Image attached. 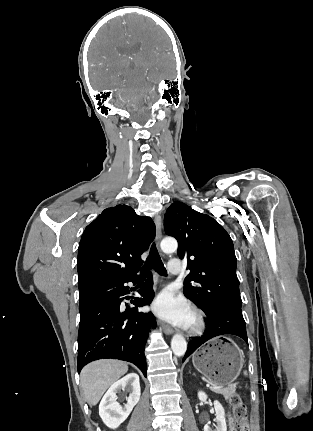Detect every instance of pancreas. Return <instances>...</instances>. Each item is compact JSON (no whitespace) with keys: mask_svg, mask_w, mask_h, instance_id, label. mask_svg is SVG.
<instances>
[{"mask_svg":"<svg viewBox=\"0 0 313 431\" xmlns=\"http://www.w3.org/2000/svg\"><path fill=\"white\" fill-rule=\"evenodd\" d=\"M212 390L217 394L223 395L225 399L228 400L235 395L236 386H229L226 388H214Z\"/></svg>","mask_w":313,"mask_h":431,"instance_id":"1","label":"pancreas"}]
</instances>
